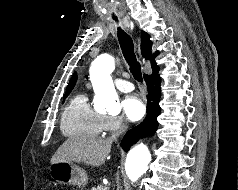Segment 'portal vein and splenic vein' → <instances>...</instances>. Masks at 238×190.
<instances>
[{
  "label": "portal vein and splenic vein",
  "instance_id": "18ae733b",
  "mask_svg": "<svg viewBox=\"0 0 238 190\" xmlns=\"http://www.w3.org/2000/svg\"><path fill=\"white\" fill-rule=\"evenodd\" d=\"M104 190H108V188L107 187H105V189Z\"/></svg>",
  "mask_w": 238,
  "mask_h": 190
}]
</instances>
